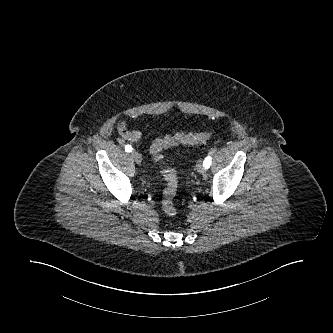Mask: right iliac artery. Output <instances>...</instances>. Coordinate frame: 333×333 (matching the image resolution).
<instances>
[{
    "instance_id": "1",
    "label": "right iliac artery",
    "mask_w": 333,
    "mask_h": 333,
    "mask_svg": "<svg viewBox=\"0 0 333 333\" xmlns=\"http://www.w3.org/2000/svg\"><path fill=\"white\" fill-rule=\"evenodd\" d=\"M132 149H133V148H132L131 145H126V146H125V151H126V152H131Z\"/></svg>"
}]
</instances>
